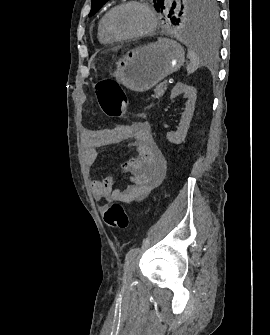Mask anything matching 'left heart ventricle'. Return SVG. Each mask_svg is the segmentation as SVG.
<instances>
[{"label":"left heart ventricle","instance_id":"obj_1","mask_svg":"<svg viewBox=\"0 0 270 335\" xmlns=\"http://www.w3.org/2000/svg\"><path fill=\"white\" fill-rule=\"evenodd\" d=\"M149 18L139 5H124L111 18L113 30L120 34H134L146 30ZM156 52V51H147Z\"/></svg>","mask_w":270,"mask_h":335}]
</instances>
